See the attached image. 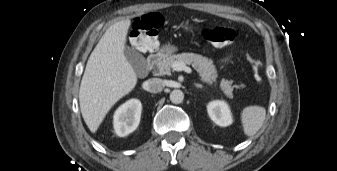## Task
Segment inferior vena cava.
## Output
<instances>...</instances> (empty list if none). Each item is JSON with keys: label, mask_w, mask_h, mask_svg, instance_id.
Segmentation results:
<instances>
[{"label": "inferior vena cava", "mask_w": 337, "mask_h": 171, "mask_svg": "<svg viewBox=\"0 0 337 171\" xmlns=\"http://www.w3.org/2000/svg\"><path fill=\"white\" fill-rule=\"evenodd\" d=\"M164 82L160 78H152L147 81V90L151 93H158L163 90Z\"/></svg>", "instance_id": "obj_1"}]
</instances>
